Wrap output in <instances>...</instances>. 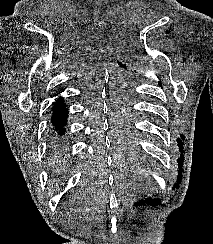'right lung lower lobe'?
Returning a JSON list of instances; mask_svg holds the SVG:
<instances>
[{"instance_id": "right-lung-lower-lobe-1", "label": "right lung lower lobe", "mask_w": 213, "mask_h": 244, "mask_svg": "<svg viewBox=\"0 0 213 244\" xmlns=\"http://www.w3.org/2000/svg\"><path fill=\"white\" fill-rule=\"evenodd\" d=\"M52 106V138L54 142V148L57 150L58 156L61 157L64 156L66 148L65 142L63 141V135L66 132L65 126L67 125L68 109L61 97L55 100Z\"/></svg>"}]
</instances>
